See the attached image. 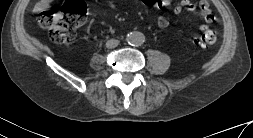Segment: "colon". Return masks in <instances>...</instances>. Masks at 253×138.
<instances>
[{"mask_svg": "<svg viewBox=\"0 0 253 138\" xmlns=\"http://www.w3.org/2000/svg\"><path fill=\"white\" fill-rule=\"evenodd\" d=\"M87 6L84 0H67L58 11H42L38 16L39 24L49 30L51 40L56 44L71 41L74 32L86 20ZM217 41L216 33L205 30L196 40L200 46H211Z\"/></svg>", "mask_w": 253, "mask_h": 138, "instance_id": "colon-1", "label": "colon"}]
</instances>
